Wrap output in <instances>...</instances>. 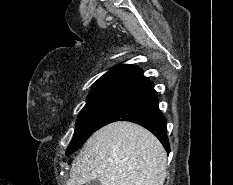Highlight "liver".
Returning <instances> with one entry per match:
<instances>
[{"mask_svg":"<svg viewBox=\"0 0 233 185\" xmlns=\"http://www.w3.org/2000/svg\"><path fill=\"white\" fill-rule=\"evenodd\" d=\"M167 154L159 140L135 123L118 121L97 130L72 163L66 185H163Z\"/></svg>","mask_w":233,"mask_h":185,"instance_id":"1","label":"liver"}]
</instances>
